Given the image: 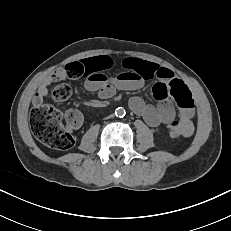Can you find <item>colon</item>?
I'll return each instance as SVG.
<instances>
[{"label":"colon","instance_id":"colon-1","mask_svg":"<svg viewBox=\"0 0 231 231\" xmlns=\"http://www.w3.org/2000/svg\"><path fill=\"white\" fill-rule=\"evenodd\" d=\"M65 74L69 78L82 76V66L76 62L67 64ZM72 90L67 83L56 85L51 96L56 101H64L71 96ZM82 123L79 111L71 109L65 114L45 103H34L30 112V125L34 136L46 146L57 150H68L74 145L72 129L78 128ZM172 138H179L183 132L179 122H173L169 127Z\"/></svg>","mask_w":231,"mask_h":231}]
</instances>
